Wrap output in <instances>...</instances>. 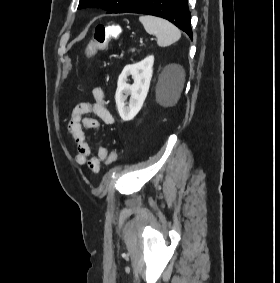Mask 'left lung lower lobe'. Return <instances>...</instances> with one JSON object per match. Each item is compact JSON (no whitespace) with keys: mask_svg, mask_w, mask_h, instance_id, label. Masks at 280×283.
<instances>
[{"mask_svg":"<svg viewBox=\"0 0 280 283\" xmlns=\"http://www.w3.org/2000/svg\"><path fill=\"white\" fill-rule=\"evenodd\" d=\"M127 12L165 18L192 37L187 0H141Z\"/></svg>","mask_w":280,"mask_h":283,"instance_id":"0a47b994","label":"left lung lower lobe"}]
</instances>
